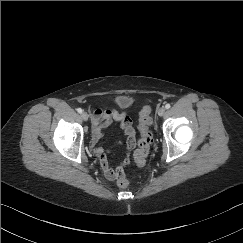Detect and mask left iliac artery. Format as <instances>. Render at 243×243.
Returning a JSON list of instances; mask_svg holds the SVG:
<instances>
[{
	"label": "left iliac artery",
	"instance_id": "left-iliac-artery-1",
	"mask_svg": "<svg viewBox=\"0 0 243 243\" xmlns=\"http://www.w3.org/2000/svg\"><path fill=\"white\" fill-rule=\"evenodd\" d=\"M170 107H171L170 104H166V105H165V108H166V109H169Z\"/></svg>",
	"mask_w": 243,
	"mask_h": 243
}]
</instances>
